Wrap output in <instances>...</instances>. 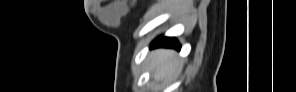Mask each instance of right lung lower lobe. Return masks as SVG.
Masks as SVG:
<instances>
[{
    "instance_id": "1",
    "label": "right lung lower lobe",
    "mask_w": 296,
    "mask_h": 92,
    "mask_svg": "<svg viewBox=\"0 0 296 92\" xmlns=\"http://www.w3.org/2000/svg\"><path fill=\"white\" fill-rule=\"evenodd\" d=\"M152 47H175L176 49H180L179 43L175 38L170 37H158L151 45Z\"/></svg>"
}]
</instances>
